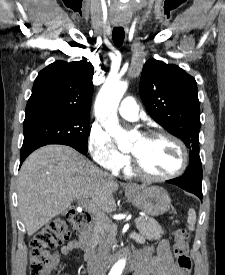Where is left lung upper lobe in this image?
Returning <instances> with one entry per match:
<instances>
[{
	"label": "left lung upper lobe",
	"mask_w": 225,
	"mask_h": 275,
	"mask_svg": "<svg viewBox=\"0 0 225 275\" xmlns=\"http://www.w3.org/2000/svg\"><path fill=\"white\" fill-rule=\"evenodd\" d=\"M140 92L150 116L190 149V162L200 160V108L195 79L176 65L150 59L142 70Z\"/></svg>",
	"instance_id": "obj_1"
}]
</instances>
